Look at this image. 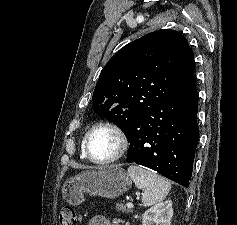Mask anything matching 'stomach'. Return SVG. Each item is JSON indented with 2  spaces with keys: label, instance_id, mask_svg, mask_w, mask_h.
Segmentation results:
<instances>
[{
  "label": "stomach",
  "instance_id": "1",
  "mask_svg": "<svg viewBox=\"0 0 237 225\" xmlns=\"http://www.w3.org/2000/svg\"><path fill=\"white\" fill-rule=\"evenodd\" d=\"M132 185L131 178L120 166L101 170H85L65 181L62 195L72 205L84 200V193L114 199L127 192Z\"/></svg>",
  "mask_w": 237,
  "mask_h": 225
}]
</instances>
